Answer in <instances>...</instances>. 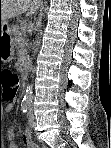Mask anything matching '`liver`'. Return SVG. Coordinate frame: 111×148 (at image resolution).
Returning a JSON list of instances; mask_svg holds the SVG:
<instances>
[{
	"label": "liver",
	"instance_id": "1",
	"mask_svg": "<svg viewBox=\"0 0 111 148\" xmlns=\"http://www.w3.org/2000/svg\"><path fill=\"white\" fill-rule=\"evenodd\" d=\"M42 0H1L0 23L4 25L8 19L14 18L25 12L34 13Z\"/></svg>",
	"mask_w": 111,
	"mask_h": 148
}]
</instances>
